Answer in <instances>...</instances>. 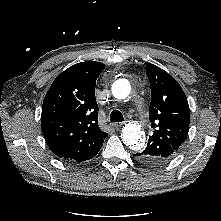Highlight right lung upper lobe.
Masks as SVG:
<instances>
[{
	"label": "right lung upper lobe",
	"instance_id": "1",
	"mask_svg": "<svg viewBox=\"0 0 221 221\" xmlns=\"http://www.w3.org/2000/svg\"><path fill=\"white\" fill-rule=\"evenodd\" d=\"M103 63H77L53 81L42 106L41 127L50 150L59 158L82 162L93 158L107 133L98 126L95 83Z\"/></svg>",
	"mask_w": 221,
	"mask_h": 221
}]
</instances>
